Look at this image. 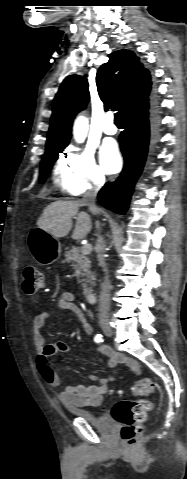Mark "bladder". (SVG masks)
Segmentation results:
<instances>
[{
  "label": "bladder",
  "instance_id": "bladder-1",
  "mask_svg": "<svg viewBox=\"0 0 187 479\" xmlns=\"http://www.w3.org/2000/svg\"><path fill=\"white\" fill-rule=\"evenodd\" d=\"M74 413L90 422L100 433L110 434L115 429L114 421L106 416H95L85 410H75Z\"/></svg>",
  "mask_w": 187,
  "mask_h": 479
}]
</instances>
